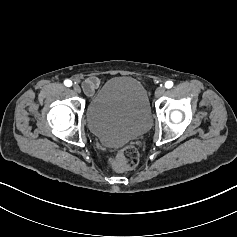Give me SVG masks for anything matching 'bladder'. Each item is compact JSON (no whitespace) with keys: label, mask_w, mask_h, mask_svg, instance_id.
I'll return each instance as SVG.
<instances>
[{"label":"bladder","mask_w":237,"mask_h":237,"mask_svg":"<svg viewBox=\"0 0 237 237\" xmlns=\"http://www.w3.org/2000/svg\"><path fill=\"white\" fill-rule=\"evenodd\" d=\"M85 116L90 132L110 146L140 137L152 124L148 93L130 76L107 80L90 99Z\"/></svg>","instance_id":"1"}]
</instances>
